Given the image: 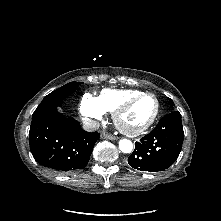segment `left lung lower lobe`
<instances>
[{"instance_id": "left-lung-lower-lobe-1", "label": "left lung lower lobe", "mask_w": 221, "mask_h": 221, "mask_svg": "<svg viewBox=\"0 0 221 221\" xmlns=\"http://www.w3.org/2000/svg\"><path fill=\"white\" fill-rule=\"evenodd\" d=\"M183 139L181 114L178 111L171 112L149 134L135 143L128 163L141 171H163L179 156Z\"/></svg>"}]
</instances>
